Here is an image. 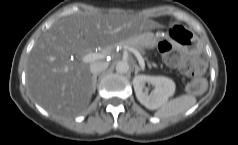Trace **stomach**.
Wrapping results in <instances>:
<instances>
[{
	"instance_id": "stomach-1",
	"label": "stomach",
	"mask_w": 238,
	"mask_h": 145,
	"mask_svg": "<svg viewBox=\"0 0 238 145\" xmlns=\"http://www.w3.org/2000/svg\"><path fill=\"white\" fill-rule=\"evenodd\" d=\"M167 37L177 46L191 53L201 49L200 37L195 31H191L182 22H171L166 29Z\"/></svg>"
}]
</instances>
